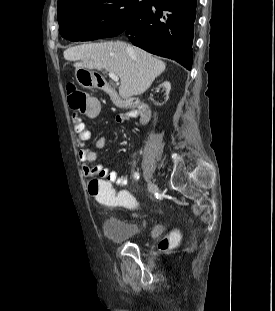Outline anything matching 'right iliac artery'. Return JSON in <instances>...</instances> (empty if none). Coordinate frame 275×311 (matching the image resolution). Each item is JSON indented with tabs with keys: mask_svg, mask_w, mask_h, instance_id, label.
Instances as JSON below:
<instances>
[{
	"mask_svg": "<svg viewBox=\"0 0 275 311\" xmlns=\"http://www.w3.org/2000/svg\"><path fill=\"white\" fill-rule=\"evenodd\" d=\"M134 178H135V180H138L140 178L139 173L135 172L134 173Z\"/></svg>",
	"mask_w": 275,
	"mask_h": 311,
	"instance_id": "obj_1",
	"label": "right iliac artery"
}]
</instances>
